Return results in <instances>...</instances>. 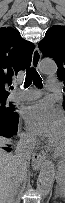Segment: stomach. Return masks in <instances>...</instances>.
<instances>
[{
    "instance_id": "0dacf381",
    "label": "stomach",
    "mask_w": 65,
    "mask_h": 203,
    "mask_svg": "<svg viewBox=\"0 0 65 203\" xmlns=\"http://www.w3.org/2000/svg\"><path fill=\"white\" fill-rule=\"evenodd\" d=\"M58 184L60 187L61 196H64V192H65V170H62L59 173Z\"/></svg>"
}]
</instances>
